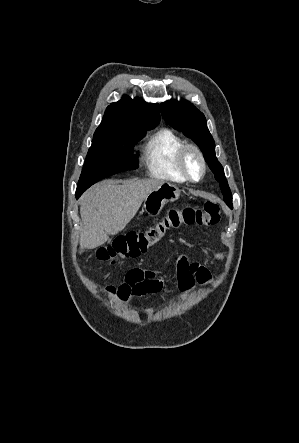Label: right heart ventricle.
<instances>
[{
	"label": "right heart ventricle",
	"mask_w": 299,
	"mask_h": 443,
	"mask_svg": "<svg viewBox=\"0 0 299 443\" xmlns=\"http://www.w3.org/2000/svg\"><path fill=\"white\" fill-rule=\"evenodd\" d=\"M186 141L174 130L164 128L154 133L144 149L147 173L155 178L182 183L186 179L178 167V154Z\"/></svg>",
	"instance_id": "1"
}]
</instances>
